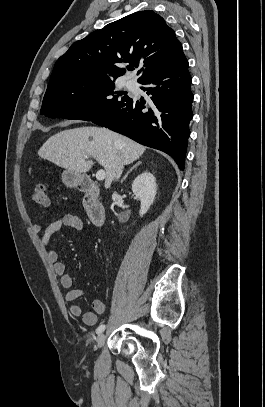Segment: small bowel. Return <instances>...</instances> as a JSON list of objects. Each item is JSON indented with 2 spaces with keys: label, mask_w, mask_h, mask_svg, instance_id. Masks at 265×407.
I'll use <instances>...</instances> for the list:
<instances>
[{
  "label": "small bowel",
  "mask_w": 265,
  "mask_h": 407,
  "mask_svg": "<svg viewBox=\"0 0 265 407\" xmlns=\"http://www.w3.org/2000/svg\"><path fill=\"white\" fill-rule=\"evenodd\" d=\"M62 227L82 230L84 224L78 216L71 213H65L62 214L57 220L47 224L45 228H43L39 223H34L32 225V230L36 234H42L40 242L47 250L48 259L53 264L55 273L60 277L61 286L67 290L65 300L66 302L71 303L69 308L71 315L76 317L82 316V320L86 325L94 326L98 322V316L103 315L106 312V304L102 300H94L92 304L93 311L83 313L81 306L75 303L78 299L85 295L86 291L82 288L74 287L73 278L66 272L65 264L59 260L58 252L55 249L50 248L51 236L58 232Z\"/></svg>",
  "instance_id": "c3829d8e"
}]
</instances>
